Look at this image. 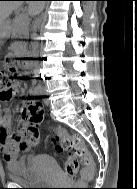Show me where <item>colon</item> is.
Listing matches in <instances>:
<instances>
[{
	"label": "colon",
	"instance_id": "5ec220e1",
	"mask_svg": "<svg viewBox=\"0 0 137 189\" xmlns=\"http://www.w3.org/2000/svg\"><path fill=\"white\" fill-rule=\"evenodd\" d=\"M17 75V70L12 66H9L7 69L0 68V99L9 100L12 98L15 93L14 80ZM24 111L26 113L27 125L18 138L24 145L34 147L40 141L39 125L44 116V107L42 103L37 102L25 106ZM52 132L56 149L70 152V156L64 164L65 175L75 177L79 164H83L85 169L82 173V178L84 180L92 179L95 174V167L82 139L77 135L68 134L66 130L60 127L54 128Z\"/></svg>",
	"mask_w": 137,
	"mask_h": 189
}]
</instances>
